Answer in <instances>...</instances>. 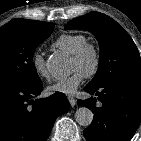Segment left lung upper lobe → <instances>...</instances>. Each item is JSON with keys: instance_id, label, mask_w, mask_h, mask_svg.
<instances>
[{"instance_id": "1", "label": "left lung upper lobe", "mask_w": 141, "mask_h": 141, "mask_svg": "<svg viewBox=\"0 0 141 141\" xmlns=\"http://www.w3.org/2000/svg\"><path fill=\"white\" fill-rule=\"evenodd\" d=\"M65 29L88 30L99 42V68L88 86L99 87L117 80L141 81L139 51L115 20L102 13L91 12L70 21Z\"/></svg>"}]
</instances>
